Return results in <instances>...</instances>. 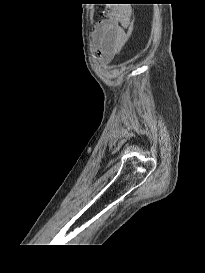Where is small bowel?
I'll list each match as a JSON object with an SVG mask.
<instances>
[{
	"label": "small bowel",
	"instance_id": "c3829d8e",
	"mask_svg": "<svg viewBox=\"0 0 205 273\" xmlns=\"http://www.w3.org/2000/svg\"><path fill=\"white\" fill-rule=\"evenodd\" d=\"M129 23L128 11L114 7L94 27V48L101 63H109L115 54L121 50L127 40L125 29Z\"/></svg>",
	"mask_w": 205,
	"mask_h": 273
}]
</instances>
